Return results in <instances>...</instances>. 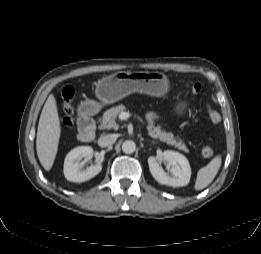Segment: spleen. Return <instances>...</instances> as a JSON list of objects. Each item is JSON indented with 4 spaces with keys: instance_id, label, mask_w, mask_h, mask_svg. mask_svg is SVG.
<instances>
[{
    "instance_id": "1",
    "label": "spleen",
    "mask_w": 261,
    "mask_h": 254,
    "mask_svg": "<svg viewBox=\"0 0 261 254\" xmlns=\"http://www.w3.org/2000/svg\"><path fill=\"white\" fill-rule=\"evenodd\" d=\"M221 162V156L218 155L198 171L195 182V190H202L206 188L214 180L221 167Z\"/></svg>"
}]
</instances>
